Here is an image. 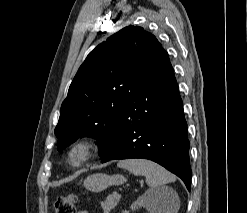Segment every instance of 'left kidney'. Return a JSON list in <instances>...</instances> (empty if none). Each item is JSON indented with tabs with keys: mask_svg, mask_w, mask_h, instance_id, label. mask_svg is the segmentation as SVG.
Segmentation results:
<instances>
[{
	"mask_svg": "<svg viewBox=\"0 0 247 213\" xmlns=\"http://www.w3.org/2000/svg\"><path fill=\"white\" fill-rule=\"evenodd\" d=\"M163 199H165L164 194H162L159 190H149L133 202L131 208L138 209L140 207H144L150 213H161V204L163 203Z\"/></svg>",
	"mask_w": 247,
	"mask_h": 213,
	"instance_id": "left-kidney-1",
	"label": "left kidney"
}]
</instances>
